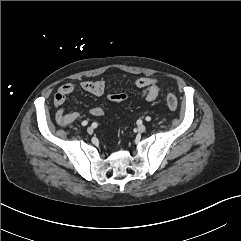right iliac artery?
Listing matches in <instances>:
<instances>
[{"mask_svg":"<svg viewBox=\"0 0 241 241\" xmlns=\"http://www.w3.org/2000/svg\"><path fill=\"white\" fill-rule=\"evenodd\" d=\"M87 124H88V121L86 120L82 122V126H86Z\"/></svg>","mask_w":241,"mask_h":241,"instance_id":"obj_1","label":"right iliac artery"}]
</instances>
